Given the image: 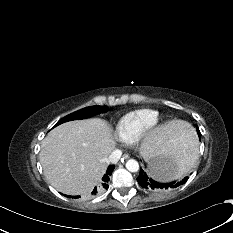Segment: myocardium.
<instances>
[{
  "label": "myocardium",
  "mask_w": 233,
  "mask_h": 233,
  "mask_svg": "<svg viewBox=\"0 0 233 233\" xmlns=\"http://www.w3.org/2000/svg\"><path fill=\"white\" fill-rule=\"evenodd\" d=\"M161 123V118L157 115L151 122L149 130L157 128Z\"/></svg>",
  "instance_id": "myocardium-1"
}]
</instances>
